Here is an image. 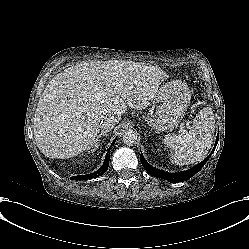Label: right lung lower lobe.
I'll use <instances>...</instances> for the list:
<instances>
[{
    "label": "right lung lower lobe",
    "mask_w": 249,
    "mask_h": 249,
    "mask_svg": "<svg viewBox=\"0 0 249 249\" xmlns=\"http://www.w3.org/2000/svg\"><path fill=\"white\" fill-rule=\"evenodd\" d=\"M116 142V139L112 142L111 146H113V144ZM109 159H110V155L109 152H107L106 157H105V161L103 163V165L101 166V168L99 170H97L96 172L92 173V174H88V175H83V176H79V179H92V178H96L98 176L103 175L109 166Z\"/></svg>",
    "instance_id": "right-lung-lower-lobe-1"
}]
</instances>
